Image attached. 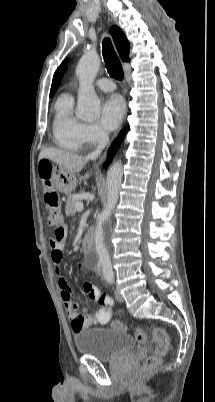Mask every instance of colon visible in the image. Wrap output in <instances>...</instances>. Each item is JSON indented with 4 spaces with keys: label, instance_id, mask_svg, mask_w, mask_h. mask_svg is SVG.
<instances>
[{
    "label": "colon",
    "instance_id": "1",
    "mask_svg": "<svg viewBox=\"0 0 215 402\" xmlns=\"http://www.w3.org/2000/svg\"><path fill=\"white\" fill-rule=\"evenodd\" d=\"M52 167V160L42 157L38 162V177L41 179L43 200L48 214V224L58 228L61 224L60 200L58 193L54 190L50 181ZM113 326L118 329L122 328V324L119 321H114ZM135 336L140 343L151 341L155 345L154 354L145 360L142 367L141 373L147 374L158 366L160 358L169 350V336L164 329L159 327L153 328L150 333L143 328H137Z\"/></svg>",
    "mask_w": 215,
    "mask_h": 402
}]
</instances>
